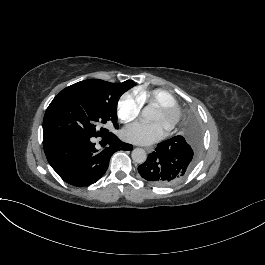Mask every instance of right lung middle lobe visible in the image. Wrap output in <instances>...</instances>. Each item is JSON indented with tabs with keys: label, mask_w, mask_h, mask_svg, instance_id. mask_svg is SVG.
<instances>
[{
	"label": "right lung middle lobe",
	"mask_w": 265,
	"mask_h": 265,
	"mask_svg": "<svg viewBox=\"0 0 265 265\" xmlns=\"http://www.w3.org/2000/svg\"><path fill=\"white\" fill-rule=\"evenodd\" d=\"M134 85L131 80L110 83L89 79L63 89L46 110L43 145L63 138H91L111 133L104 126L112 124L118 128V100Z\"/></svg>",
	"instance_id": "obj_1"
}]
</instances>
